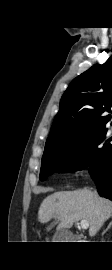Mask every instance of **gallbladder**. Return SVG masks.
Masks as SVG:
<instances>
[{
  "label": "gallbladder",
  "instance_id": "gallbladder-1",
  "mask_svg": "<svg viewBox=\"0 0 112 270\" xmlns=\"http://www.w3.org/2000/svg\"><path fill=\"white\" fill-rule=\"evenodd\" d=\"M55 242H73L77 237L67 229H58L53 236Z\"/></svg>",
  "mask_w": 112,
  "mask_h": 270
}]
</instances>
